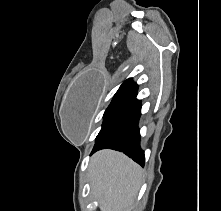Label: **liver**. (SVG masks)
<instances>
[{
  "mask_svg": "<svg viewBox=\"0 0 221 211\" xmlns=\"http://www.w3.org/2000/svg\"><path fill=\"white\" fill-rule=\"evenodd\" d=\"M89 175L101 211H131L141 184L139 165L121 152L106 149L92 156Z\"/></svg>",
  "mask_w": 221,
  "mask_h": 211,
  "instance_id": "liver-1",
  "label": "liver"
}]
</instances>
